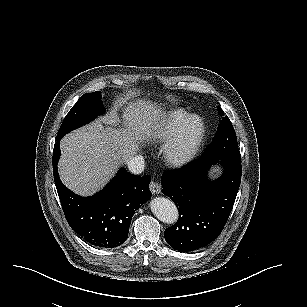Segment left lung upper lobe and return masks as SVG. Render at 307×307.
Returning <instances> with one entry per match:
<instances>
[{
  "label": "left lung upper lobe",
  "instance_id": "5c2ea615",
  "mask_svg": "<svg viewBox=\"0 0 307 307\" xmlns=\"http://www.w3.org/2000/svg\"><path fill=\"white\" fill-rule=\"evenodd\" d=\"M218 111L221 115L224 114L220 107H218ZM201 158L241 160L236 133L227 116H225L220 122L212 144L204 152Z\"/></svg>",
  "mask_w": 307,
  "mask_h": 307
}]
</instances>
